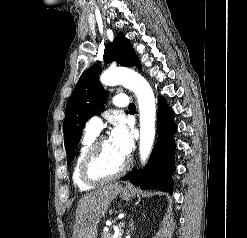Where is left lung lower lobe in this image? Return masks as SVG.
<instances>
[{"label": "left lung lower lobe", "mask_w": 247, "mask_h": 238, "mask_svg": "<svg viewBox=\"0 0 247 238\" xmlns=\"http://www.w3.org/2000/svg\"><path fill=\"white\" fill-rule=\"evenodd\" d=\"M173 115L172 109L161 98L157 116L159 137L150 162L143 170L134 168L123 180H129L142 189L173 190L172 173L175 171L174 151L176 149L173 135L177 130Z\"/></svg>", "instance_id": "1"}]
</instances>
